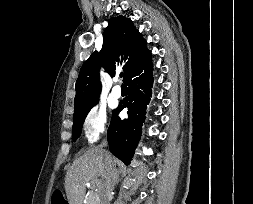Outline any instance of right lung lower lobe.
I'll return each mask as SVG.
<instances>
[{
    "mask_svg": "<svg viewBox=\"0 0 253 204\" xmlns=\"http://www.w3.org/2000/svg\"><path fill=\"white\" fill-rule=\"evenodd\" d=\"M151 53L148 52L142 62L129 74L125 83L129 96L113 110L108 129L109 149L125 164H129L141 136V125L144 121L146 105L151 97L153 84ZM127 108L128 118L121 120L118 113Z\"/></svg>",
    "mask_w": 253,
    "mask_h": 204,
    "instance_id": "98d812e1",
    "label": "right lung lower lobe"
}]
</instances>
